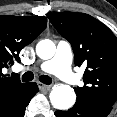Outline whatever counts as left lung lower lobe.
<instances>
[{
	"label": "left lung lower lobe",
	"instance_id": "0a47b994",
	"mask_svg": "<svg viewBox=\"0 0 117 117\" xmlns=\"http://www.w3.org/2000/svg\"><path fill=\"white\" fill-rule=\"evenodd\" d=\"M112 109L111 105L89 100L77 99L75 105L68 111H56V117H107Z\"/></svg>",
	"mask_w": 117,
	"mask_h": 117
}]
</instances>
